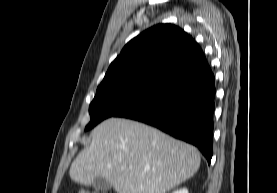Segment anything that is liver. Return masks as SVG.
I'll return each mask as SVG.
<instances>
[{
    "label": "liver",
    "instance_id": "1",
    "mask_svg": "<svg viewBox=\"0 0 277 193\" xmlns=\"http://www.w3.org/2000/svg\"><path fill=\"white\" fill-rule=\"evenodd\" d=\"M91 136L69 170L70 178L85 186L101 176L117 193H166L200 166L195 147L136 121L109 118Z\"/></svg>",
    "mask_w": 277,
    "mask_h": 193
}]
</instances>
